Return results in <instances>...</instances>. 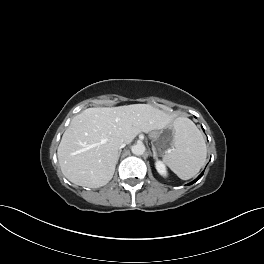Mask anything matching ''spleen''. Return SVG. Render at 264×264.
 I'll use <instances>...</instances> for the list:
<instances>
[{
  "label": "spleen",
  "mask_w": 264,
  "mask_h": 264,
  "mask_svg": "<svg viewBox=\"0 0 264 264\" xmlns=\"http://www.w3.org/2000/svg\"><path fill=\"white\" fill-rule=\"evenodd\" d=\"M172 147L163 156L167 166L183 180L194 177L205 164L207 147L202 133L190 119L175 120Z\"/></svg>",
  "instance_id": "1"
}]
</instances>
